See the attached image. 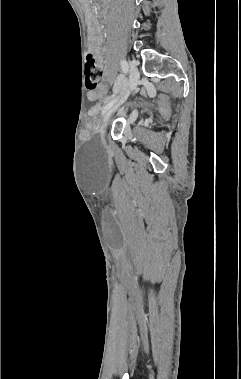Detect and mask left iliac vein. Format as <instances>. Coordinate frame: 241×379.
<instances>
[{
    "mask_svg": "<svg viewBox=\"0 0 241 379\" xmlns=\"http://www.w3.org/2000/svg\"><path fill=\"white\" fill-rule=\"evenodd\" d=\"M129 67H130V71H129V80H128V91L125 92L124 94H122L117 102L108 109V111L106 112L99 128H98V133L101 137V139H104L105 138V135H106V129H107V125H108V122L112 116V114L125 102V100L127 99V97L129 96V94L136 88L137 84H138V81H139V78H140V73H139V70L136 66V64L131 61L129 62Z\"/></svg>",
    "mask_w": 241,
    "mask_h": 379,
    "instance_id": "4c4485c4",
    "label": "left iliac vein"
}]
</instances>
